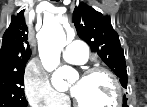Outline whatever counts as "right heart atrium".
<instances>
[{
	"label": "right heart atrium",
	"mask_w": 147,
	"mask_h": 107,
	"mask_svg": "<svg viewBox=\"0 0 147 107\" xmlns=\"http://www.w3.org/2000/svg\"><path fill=\"white\" fill-rule=\"evenodd\" d=\"M25 94L32 106L58 107L65 102V97L50 84L48 77L36 65H29L24 74Z\"/></svg>",
	"instance_id": "right-heart-atrium-1"
}]
</instances>
